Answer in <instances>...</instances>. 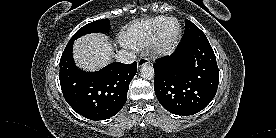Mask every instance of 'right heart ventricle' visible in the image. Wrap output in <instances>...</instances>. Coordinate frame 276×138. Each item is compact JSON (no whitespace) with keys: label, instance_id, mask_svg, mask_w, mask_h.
I'll list each match as a JSON object with an SVG mask.
<instances>
[{"label":"right heart ventricle","instance_id":"obj_1","mask_svg":"<svg viewBox=\"0 0 276 138\" xmlns=\"http://www.w3.org/2000/svg\"><path fill=\"white\" fill-rule=\"evenodd\" d=\"M167 18L160 15L131 24L124 32L122 42L136 49L149 45L159 26Z\"/></svg>","mask_w":276,"mask_h":138}]
</instances>
